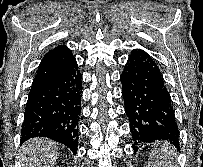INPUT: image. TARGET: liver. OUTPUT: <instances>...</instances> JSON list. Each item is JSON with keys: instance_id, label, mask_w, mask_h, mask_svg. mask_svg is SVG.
Wrapping results in <instances>:
<instances>
[{"instance_id": "6515ba94", "label": "liver", "mask_w": 203, "mask_h": 167, "mask_svg": "<svg viewBox=\"0 0 203 167\" xmlns=\"http://www.w3.org/2000/svg\"><path fill=\"white\" fill-rule=\"evenodd\" d=\"M58 147L51 140L35 138L22 146L23 167H53L58 159Z\"/></svg>"}]
</instances>
